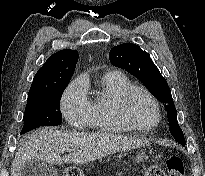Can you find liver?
<instances>
[{
	"mask_svg": "<svg viewBox=\"0 0 205 176\" xmlns=\"http://www.w3.org/2000/svg\"><path fill=\"white\" fill-rule=\"evenodd\" d=\"M147 143L118 135L42 128L27 135L12 162L11 176H20L21 168L32 161L53 165H61L63 161L68 164H84ZM61 149L69 151V154L60 157Z\"/></svg>",
	"mask_w": 205,
	"mask_h": 176,
	"instance_id": "liver-1",
	"label": "liver"
}]
</instances>
